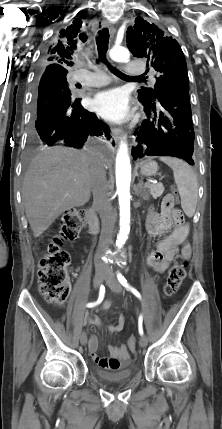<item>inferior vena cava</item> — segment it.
Wrapping results in <instances>:
<instances>
[{
	"label": "inferior vena cava",
	"mask_w": 222,
	"mask_h": 429,
	"mask_svg": "<svg viewBox=\"0 0 222 429\" xmlns=\"http://www.w3.org/2000/svg\"><path fill=\"white\" fill-rule=\"evenodd\" d=\"M91 188L94 205L97 208L102 222L99 246L95 256V260L97 261L100 257V254L106 251L112 242V235L116 222V217L113 213L110 201V192L106 179L105 163L103 157L100 154L96 155L92 168Z\"/></svg>",
	"instance_id": "inferior-vena-cava-1"
}]
</instances>
